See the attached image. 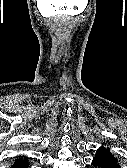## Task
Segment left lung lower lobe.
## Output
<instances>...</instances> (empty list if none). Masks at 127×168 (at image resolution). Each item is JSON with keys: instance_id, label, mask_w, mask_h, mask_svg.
<instances>
[{"instance_id": "left-lung-lower-lobe-1", "label": "left lung lower lobe", "mask_w": 127, "mask_h": 168, "mask_svg": "<svg viewBox=\"0 0 127 168\" xmlns=\"http://www.w3.org/2000/svg\"><path fill=\"white\" fill-rule=\"evenodd\" d=\"M95 168H120L116 158L112 155L109 148L100 147L92 161Z\"/></svg>"}]
</instances>
